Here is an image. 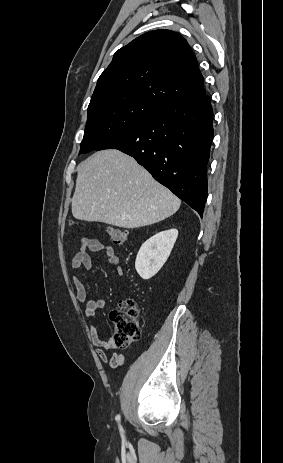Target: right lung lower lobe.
I'll return each instance as SVG.
<instances>
[{
  "label": "right lung lower lobe",
  "mask_w": 283,
  "mask_h": 463,
  "mask_svg": "<svg viewBox=\"0 0 283 463\" xmlns=\"http://www.w3.org/2000/svg\"><path fill=\"white\" fill-rule=\"evenodd\" d=\"M212 117L204 93L161 107L95 150L118 149L134 157L202 217L214 134Z\"/></svg>",
  "instance_id": "obj_1"
}]
</instances>
